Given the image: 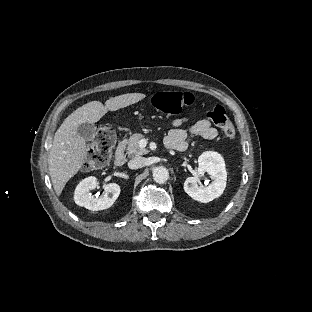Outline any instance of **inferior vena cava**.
<instances>
[{
  "label": "inferior vena cava",
  "instance_id": "602c4592",
  "mask_svg": "<svg viewBox=\"0 0 312 312\" xmlns=\"http://www.w3.org/2000/svg\"><path fill=\"white\" fill-rule=\"evenodd\" d=\"M146 159L144 157H135L128 162L130 169H139L145 166Z\"/></svg>",
  "mask_w": 312,
  "mask_h": 312
}]
</instances>
